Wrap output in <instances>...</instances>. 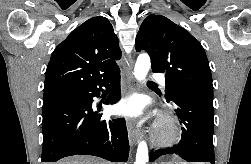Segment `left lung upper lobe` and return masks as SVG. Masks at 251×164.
<instances>
[{"mask_svg": "<svg viewBox=\"0 0 251 164\" xmlns=\"http://www.w3.org/2000/svg\"><path fill=\"white\" fill-rule=\"evenodd\" d=\"M135 48L148 52L153 72H165L168 101L180 94L213 99L206 53L184 28L162 15L151 14L139 29Z\"/></svg>", "mask_w": 251, "mask_h": 164, "instance_id": "left-lung-upper-lobe-1", "label": "left lung upper lobe"}]
</instances>
